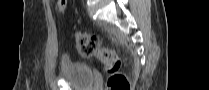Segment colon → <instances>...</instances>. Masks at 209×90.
<instances>
[{
  "mask_svg": "<svg viewBox=\"0 0 209 90\" xmlns=\"http://www.w3.org/2000/svg\"><path fill=\"white\" fill-rule=\"evenodd\" d=\"M67 0H59L58 8L64 13ZM75 44L80 56L85 58H97L104 64L105 70L110 74L108 87L110 90H130V84L124 74L120 72L121 60L118 54L101 45L97 35L80 32L75 35Z\"/></svg>",
  "mask_w": 209,
  "mask_h": 90,
  "instance_id": "obj_1",
  "label": "colon"
}]
</instances>
